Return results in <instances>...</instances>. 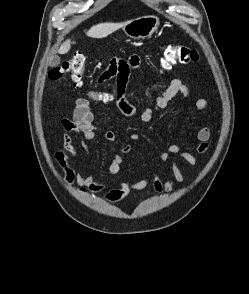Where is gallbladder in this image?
<instances>
[{"label":"gallbladder","instance_id":"1","mask_svg":"<svg viewBox=\"0 0 249 294\" xmlns=\"http://www.w3.org/2000/svg\"><path fill=\"white\" fill-rule=\"evenodd\" d=\"M59 64H60V58L58 56H55L50 62L51 67H55Z\"/></svg>","mask_w":249,"mask_h":294}]
</instances>
